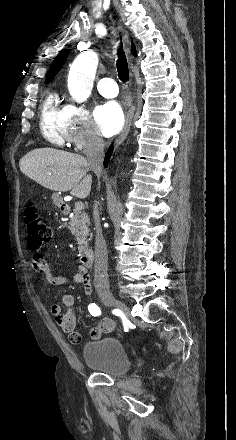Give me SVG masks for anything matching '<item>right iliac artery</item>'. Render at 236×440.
<instances>
[{
  "mask_svg": "<svg viewBox=\"0 0 236 440\" xmlns=\"http://www.w3.org/2000/svg\"><path fill=\"white\" fill-rule=\"evenodd\" d=\"M88 310L92 316L101 315V309L95 303L89 304Z\"/></svg>",
  "mask_w": 236,
  "mask_h": 440,
  "instance_id": "1",
  "label": "right iliac artery"
}]
</instances>
